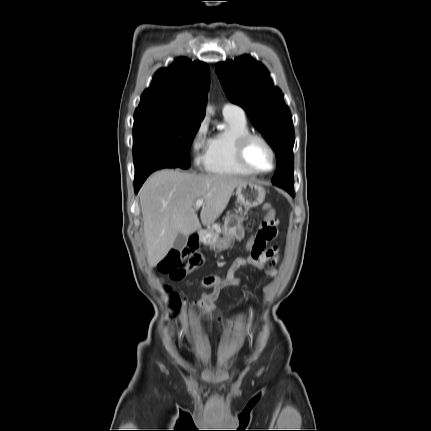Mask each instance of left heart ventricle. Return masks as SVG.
Returning a JSON list of instances; mask_svg holds the SVG:
<instances>
[{"instance_id": "left-heart-ventricle-1", "label": "left heart ventricle", "mask_w": 431, "mask_h": 431, "mask_svg": "<svg viewBox=\"0 0 431 431\" xmlns=\"http://www.w3.org/2000/svg\"><path fill=\"white\" fill-rule=\"evenodd\" d=\"M246 159L252 167L258 170H269L272 166L271 153L259 140H253L248 144Z\"/></svg>"}]
</instances>
